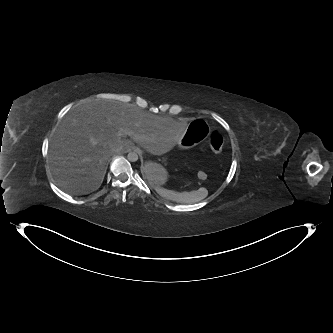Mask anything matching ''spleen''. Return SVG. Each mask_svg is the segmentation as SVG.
I'll list each match as a JSON object with an SVG mask.
<instances>
[{
	"label": "spleen",
	"instance_id": "1",
	"mask_svg": "<svg viewBox=\"0 0 333 333\" xmlns=\"http://www.w3.org/2000/svg\"><path fill=\"white\" fill-rule=\"evenodd\" d=\"M158 194L164 196L167 201L175 203H194L205 199L208 191L204 188L192 192H178L175 190H167L165 188L153 187Z\"/></svg>",
	"mask_w": 333,
	"mask_h": 333
}]
</instances>
